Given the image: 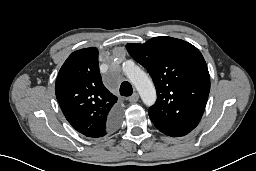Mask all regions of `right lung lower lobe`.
<instances>
[{"instance_id": "right-lung-lower-lobe-1", "label": "right lung lower lobe", "mask_w": 256, "mask_h": 171, "mask_svg": "<svg viewBox=\"0 0 256 171\" xmlns=\"http://www.w3.org/2000/svg\"><path fill=\"white\" fill-rule=\"evenodd\" d=\"M120 121V111L115 109L109 116L107 121V127L109 130H114Z\"/></svg>"}]
</instances>
